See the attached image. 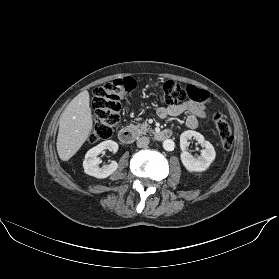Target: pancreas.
Segmentation results:
<instances>
[{
	"mask_svg": "<svg viewBox=\"0 0 279 279\" xmlns=\"http://www.w3.org/2000/svg\"><path fill=\"white\" fill-rule=\"evenodd\" d=\"M148 126L149 125L147 122H145L143 124H137V125L130 124V127L134 128L135 130H137L138 132L143 133V134L148 132V130H149Z\"/></svg>",
	"mask_w": 279,
	"mask_h": 279,
	"instance_id": "1",
	"label": "pancreas"
}]
</instances>
